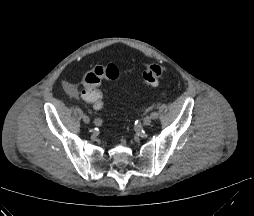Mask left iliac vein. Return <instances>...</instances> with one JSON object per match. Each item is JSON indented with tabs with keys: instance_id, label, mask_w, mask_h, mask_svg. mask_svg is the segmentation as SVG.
Returning a JSON list of instances; mask_svg holds the SVG:
<instances>
[{
	"instance_id": "1",
	"label": "left iliac vein",
	"mask_w": 254,
	"mask_h": 216,
	"mask_svg": "<svg viewBox=\"0 0 254 216\" xmlns=\"http://www.w3.org/2000/svg\"><path fill=\"white\" fill-rule=\"evenodd\" d=\"M151 122H152L151 116H147V117H145L144 120H143V124H144L145 126L150 125Z\"/></svg>"
}]
</instances>
